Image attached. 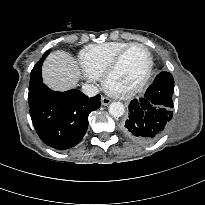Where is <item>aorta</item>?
<instances>
[{"instance_id": "762f6f07", "label": "aorta", "mask_w": 205, "mask_h": 205, "mask_svg": "<svg viewBox=\"0 0 205 205\" xmlns=\"http://www.w3.org/2000/svg\"><path fill=\"white\" fill-rule=\"evenodd\" d=\"M125 112V107L121 102H112L109 106V113L113 117H121Z\"/></svg>"}]
</instances>
